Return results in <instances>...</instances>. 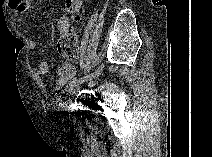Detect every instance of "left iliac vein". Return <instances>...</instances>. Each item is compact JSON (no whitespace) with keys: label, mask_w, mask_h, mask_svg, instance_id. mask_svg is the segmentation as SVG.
I'll return each mask as SVG.
<instances>
[{"label":"left iliac vein","mask_w":212,"mask_h":157,"mask_svg":"<svg viewBox=\"0 0 212 157\" xmlns=\"http://www.w3.org/2000/svg\"><path fill=\"white\" fill-rule=\"evenodd\" d=\"M80 90V85L74 86L71 90H69L71 95H76Z\"/></svg>","instance_id":"1"}]
</instances>
